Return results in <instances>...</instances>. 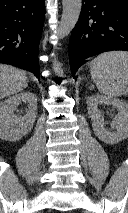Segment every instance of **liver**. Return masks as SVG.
Here are the masks:
<instances>
[{"instance_id": "6515ba94", "label": "liver", "mask_w": 128, "mask_h": 213, "mask_svg": "<svg viewBox=\"0 0 128 213\" xmlns=\"http://www.w3.org/2000/svg\"><path fill=\"white\" fill-rule=\"evenodd\" d=\"M27 85L28 78L24 71L0 64V100L22 91Z\"/></svg>"}]
</instances>
